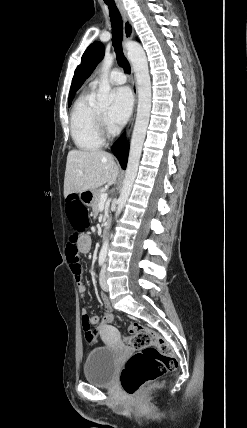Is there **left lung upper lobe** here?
Returning a JSON list of instances; mask_svg holds the SVG:
<instances>
[{"mask_svg": "<svg viewBox=\"0 0 247 428\" xmlns=\"http://www.w3.org/2000/svg\"><path fill=\"white\" fill-rule=\"evenodd\" d=\"M104 45L101 42L92 43L84 52L81 64L77 67L69 92V106L71 105L74 92L78 90L84 81L91 75L98 63L103 59Z\"/></svg>", "mask_w": 247, "mask_h": 428, "instance_id": "1", "label": "left lung upper lobe"}]
</instances>
